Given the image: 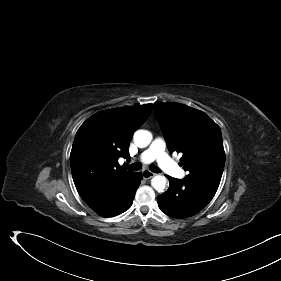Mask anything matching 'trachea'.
<instances>
[{"label":"trachea","mask_w":281,"mask_h":281,"mask_svg":"<svg viewBox=\"0 0 281 281\" xmlns=\"http://www.w3.org/2000/svg\"><path fill=\"white\" fill-rule=\"evenodd\" d=\"M141 168H142V165H141L140 163H138V162L133 163V164H131V165H129V166L127 167V169H128L129 171H138V170H140ZM150 169H151V171L154 172V173H160V172H161V170H160L157 166H155V165H151V166H150Z\"/></svg>","instance_id":"obj_1"}]
</instances>
